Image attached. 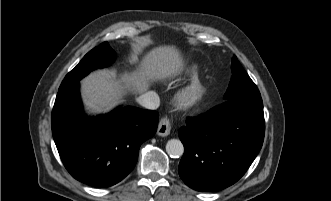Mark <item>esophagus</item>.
<instances>
[{
  "label": "esophagus",
  "mask_w": 331,
  "mask_h": 201,
  "mask_svg": "<svg viewBox=\"0 0 331 201\" xmlns=\"http://www.w3.org/2000/svg\"><path fill=\"white\" fill-rule=\"evenodd\" d=\"M171 132V123L167 117H163L158 125L157 134L159 136H168Z\"/></svg>",
  "instance_id": "1"
}]
</instances>
